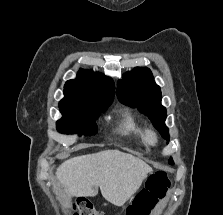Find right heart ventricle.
<instances>
[{"mask_svg": "<svg viewBox=\"0 0 223 215\" xmlns=\"http://www.w3.org/2000/svg\"><path fill=\"white\" fill-rule=\"evenodd\" d=\"M117 133L121 137L137 144H144L146 141V129L127 111L124 112L122 116V120L117 128Z\"/></svg>", "mask_w": 223, "mask_h": 215, "instance_id": "1", "label": "right heart ventricle"}]
</instances>
